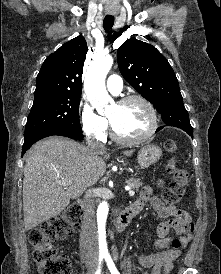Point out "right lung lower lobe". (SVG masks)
Returning a JSON list of instances; mask_svg holds the SVG:
<instances>
[{"instance_id": "obj_1", "label": "right lung lower lobe", "mask_w": 221, "mask_h": 274, "mask_svg": "<svg viewBox=\"0 0 221 274\" xmlns=\"http://www.w3.org/2000/svg\"><path fill=\"white\" fill-rule=\"evenodd\" d=\"M53 135L65 136V137H69L76 140H80L83 138L82 133H78L68 129H62V128L44 129V130L25 136L24 144L22 147V154H24L38 140L48 136H53Z\"/></svg>"}]
</instances>
